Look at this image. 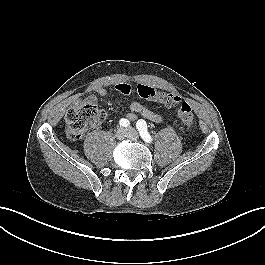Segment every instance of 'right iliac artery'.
I'll list each match as a JSON object with an SVG mask.
<instances>
[{"mask_svg": "<svg viewBox=\"0 0 265 265\" xmlns=\"http://www.w3.org/2000/svg\"><path fill=\"white\" fill-rule=\"evenodd\" d=\"M119 124L120 126L122 127H128L130 125V122L129 120L125 119V118H122L120 121H119Z\"/></svg>", "mask_w": 265, "mask_h": 265, "instance_id": "obj_1", "label": "right iliac artery"}]
</instances>
